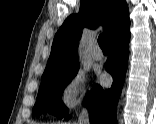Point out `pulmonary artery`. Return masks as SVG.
Wrapping results in <instances>:
<instances>
[{
  "label": "pulmonary artery",
  "mask_w": 156,
  "mask_h": 124,
  "mask_svg": "<svg viewBox=\"0 0 156 124\" xmlns=\"http://www.w3.org/2000/svg\"><path fill=\"white\" fill-rule=\"evenodd\" d=\"M92 57L94 60L99 61L103 59V53L99 48H94L92 50Z\"/></svg>",
  "instance_id": "1"
}]
</instances>
